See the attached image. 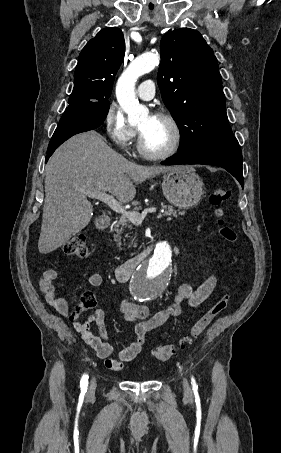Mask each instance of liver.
<instances>
[{
	"instance_id": "obj_1",
	"label": "liver",
	"mask_w": 281,
	"mask_h": 453,
	"mask_svg": "<svg viewBox=\"0 0 281 453\" xmlns=\"http://www.w3.org/2000/svg\"><path fill=\"white\" fill-rule=\"evenodd\" d=\"M180 166L183 164L142 166L113 150L96 130L75 134L55 150L45 166L39 253L55 251L87 227L93 206L84 190H108L120 202H130L136 194L134 182Z\"/></svg>"
}]
</instances>
